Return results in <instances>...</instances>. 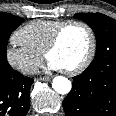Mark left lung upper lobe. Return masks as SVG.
Here are the masks:
<instances>
[{"label": "left lung upper lobe", "instance_id": "5c2ea615", "mask_svg": "<svg viewBox=\"0 0 116 116\" xmlns=\"http://www.w3.org/2000/svg\"><path fill=\"white\" fill-rule=\"evenodd\" d=\"M74 18L87 23L97 40L95 58L86 70L108 65L116 67V20L101 13H77Z\"/></svg>", "mask_w": 116, "mask_h": 116}]
</instances>
